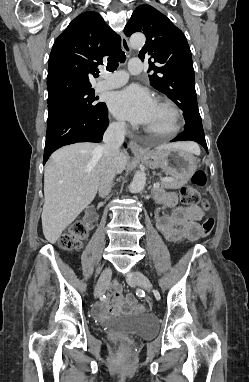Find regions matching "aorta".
<instances>
[{"instance_id": "aorta-1", "label": "aorta", "mask_w": 249, "mask_h": 382, "mask_svg": "<svg viewBox=\"0 0 249 382\" xmlns=\"http://www.w3.org/2000/svg\"><path fill=\"white\" fill-rule=\"evenodd\" d=\"M145 43V36L143 34H134L130 38L132 48H141ZM146 184V174L142 171H136L134 178L129 186V191L132 193L141 192Z\"/></svg>"}]
</instances>
